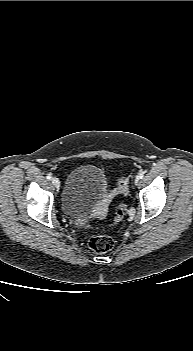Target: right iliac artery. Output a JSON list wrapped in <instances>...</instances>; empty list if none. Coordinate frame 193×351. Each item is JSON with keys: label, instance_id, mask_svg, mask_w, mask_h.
Segmentation results:
<instances>
[{"label": "right iliac artery", "instance_id": "82829eb1", "mask_svg": "<svg viewBox=\"0 0 193 351\" xmlns=\"http://www.w3.org/2000/svg\"><path fill=\"white\" fill-rule=\"evenodd\" d=\"M46 178H47L48 180H51L52 176H51L50 174H48V175L46 176Z\"/></svg>", "mask_w": 193, "mask_h": 351}]
</instances>
